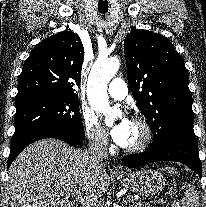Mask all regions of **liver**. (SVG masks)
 <instances>
[{
	"mask_svg": "<svg viewBox=\"0 0 206 207\" xmlns=\"http://www.w3.org/2000/svg\"><path fill=\"white\" fill-rule=\"evenodd\" d=\"M110 178L105 165L93 166L86 150L56 139L25 148L9 168L7 193L11 207H71L102 197Z\"/></svg>",
	"mask_w": 206,
	"mask_h": 207,
	"instance_id": "6515ba94",
	"label": "liver"
}]
</instances>
